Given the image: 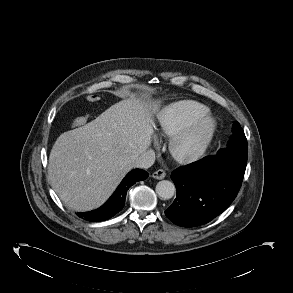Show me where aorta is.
Returning a JSON list of instances; mask_svg holds the SVG:
<instances>
[{"mask_svg": "<svg viewBox=\"0 0 293 293\" xmlns=\"http://www.w3.org/2000/svg\"><path fill=\"white\" fill-rule=\"evenodd\" d=\"M175 192V185L171 181L162 180L156 185V193L163 200L171 199Z\"/></svg>", "mask_w": 293, "mask_h": 293, "instance_id": "762f6f07", "label": "aorta"}]
</instances>
